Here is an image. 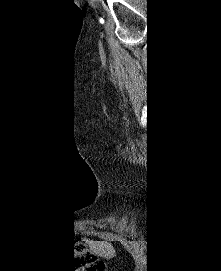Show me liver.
Returning a JSON list of instances; mask_svg holds the SVG:
<instances>
[{
    "instance_id": "1",
    "label": "liver",
    "mask_w": 221,
    "mask_h": 271,
    "mask_svg": "<svg viewBox=\"0 0 221 271\" xmlns=\"http://www.w3.org/2000/svg\"><path fill=\"white\" fill-rule=\"evenodd\" d=\"M89 245L93 251L99 253L101 257H115L116 249L112 243H104V241H89Z\"/></svg>"
}]
</instances>
